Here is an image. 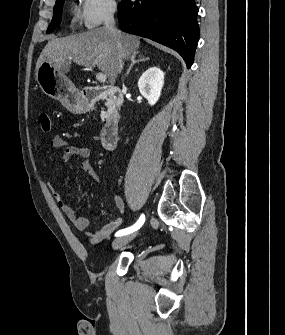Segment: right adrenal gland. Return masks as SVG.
Returning a JSON list of instances; mask_svg holds the SVG:
<instances>
[{"label":"right adrenal gland","mask_w":285,"mask_h":335,"mask_svg":"<svg viewBox=\"0 0 285 335\" xmlns=\"http://www.w3.org/2000/svg\"><path fill=\"white\" fill-rule=\"evenodd\" d=\"M138 52H135V54H132L131 58H130V66L125 74V76H128L129 72H131L133 66H135V64H139V62H147V60H150V58H143V56H141V54H138L139 56V60H135L136 56H137Z\"/></svg>","instance_id":"1"}]
</instances>
